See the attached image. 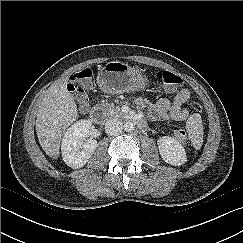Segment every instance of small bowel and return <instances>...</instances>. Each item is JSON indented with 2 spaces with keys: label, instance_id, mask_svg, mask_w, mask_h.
Wrapping results in <instances>:
<instances>
[{
  "label": "small bowel",
  "instance_id": "1",
  "mask_svg": "<svg viewBox=\"0 0 243 243\" xmlns=\"http://www.w3.org/2000/svg\"><path fill=\"white\" fill-rule=\"evenodd\" d=\"M190 93L187 89L180 90L171 101L160 98L150 109V117L156 120L185 121L189 116L188 109L183 105L188 101Z\"/></svg>",
  "mask_w": 243,
  "mask_h": 243
}]
</instances>
